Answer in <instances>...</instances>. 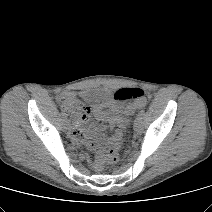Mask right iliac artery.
Segmentation results:
<instances>
[{
	"mask_svg": "<svg viewBox=\"0 0 212 212\" xmlns=\"http://www.w3.org/2000/svg\"><path fill=\"white\" fill-rule=\"evenodd\" d=\"M63 119H66V115L64 113L61 114Z\"/></svg>",
	"mask_w": 212,
	"mask_h": 212,
	"instance_id": "82829eb1",
	"label": "right iliac artery"
}]
</instances>
